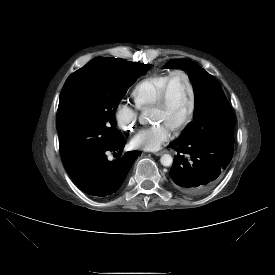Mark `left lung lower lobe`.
<instances>
[{"mask_svg":"<svg viewBox=\"0 0 275 275\" xmlns=\"http://www.w3.org/2000/svg\"><path fill=\"white\" fill-rule=\"evenodd\" d=\"M169 147L177 151L170 170L172 184L187 195L209 191L230 163L234 151L233 143L225 139L173 141Z\"/></svg>","mask_w":275,"mask_h":275,"instance_id":"obj_1","label":"left lung lower lobe"}]
</instances>
